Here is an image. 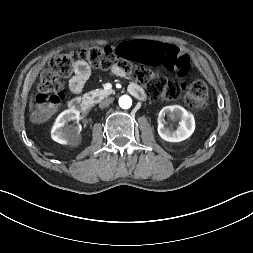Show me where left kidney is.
Returning <instances> with one entry per match:
<instances>
[{
    "label": "left kidney",
    "mask_w": 253,
    "mask_h": 253,
    "mask_svg": "<svg viewBox=\"0 0 253 253\" xmlns=\"http://www.w3.org/2000/svg\"><path fill=\"white\" fill-rule=\"evenodd\" d=\"M167 115L172 120H179V126L176 130L165 127L163 117ZM195 130V119L193 114L183 107L165 106L161 109L158 116V134L168 142H180L189 138Z\"/></svg>",
    "instance_id": "5707ae66"
}]
</instances>
